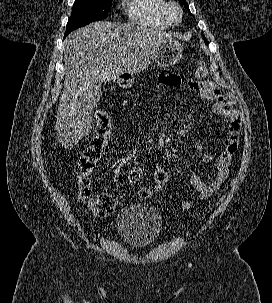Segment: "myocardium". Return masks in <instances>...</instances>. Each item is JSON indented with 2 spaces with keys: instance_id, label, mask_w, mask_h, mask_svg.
<instances>
[{
  "instance_id": "obj_1",
  "label": "myocardium",
  "mask_w": 272,
  "mask_h": 303,
  "mask_svg": "<svg viewBox=\"0 0 272 303\" xmlns=\"http://www.w3.org/2000/svg\"><path fill=\"white\" fill-rule=\"evenodd\" d=\"M171 11L176 13V19L171 17ZM163 18L170 26L178 25L182 20V10L180 6L173 1H166L163 8Z\"/></svg>"
}]
</instances>
